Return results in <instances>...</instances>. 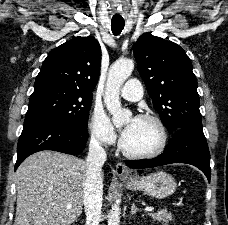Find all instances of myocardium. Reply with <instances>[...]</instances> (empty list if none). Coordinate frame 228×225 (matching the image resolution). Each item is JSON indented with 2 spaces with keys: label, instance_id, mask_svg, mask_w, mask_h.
<instances>
[{
  "label": "myocardium",
  "instance_id": "myocardium-1",
  "mask_svg": "<svg viewBox=\"0 0 228 225\" xmlns=\"http://www.w3.org/2000/svg\"><path fill=\"white\" fill-rule=\"evenodd\" d=\"M139 120H143V121H150L152 123H154L161 134V142L159 147L154 150V151H150V152H142V151H136V150H132L130 149L126 143L124 139H121L120 141V149L121 151L131 157L134 158H155L160 156L166 149L167 145H168V131L167 128L164 124V122L158 118L157 116L154 115H149V114H142L139 115L138 118Z\"/></svg>",
  "mask_w": 228,
  "mask_h": 225
}]
</instances>
